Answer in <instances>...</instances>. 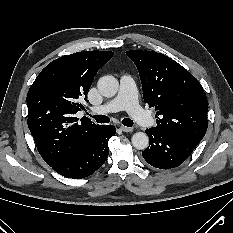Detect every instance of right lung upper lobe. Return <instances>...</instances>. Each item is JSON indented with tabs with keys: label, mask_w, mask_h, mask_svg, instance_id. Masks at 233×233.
<instances>
[{
	"label": "right lung upper lobe",
	"mask_w": 233,
	"mask_h": 233,
	"mask_svg": "<svg viewBox=\"0 0 233 233\" xmlns=\"http://www.w3.org/2000/svg\"><path fill=\"white\" fill-rule=\"evenodd\" d=\"M113 56L110 51H84L62 56L48 64L27 94L28 127L41 157L49 166L80 152L105 125L81 120V100L98 70Z\"/></svg>",
	"instance_id": "1"
}]
</instances>
